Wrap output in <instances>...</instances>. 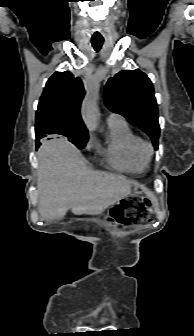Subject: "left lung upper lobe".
<instances>
[{
  "label": "left lung upper lobe",
  "mask_w": 194,
  "mask_h": 336,
  "mask_svg": "<svg viewBox=\"0 0 194 336\" xmlns=\"http://www.w3.org/2000/svg\"><path fill=\"white\" fill-rule=\"evenodd\" d=\"M106 106L146 132L157 148L160 133L153 84L140 70H124L110 78L104 89Z\"/></svg>",
  "instance_id": "1"
}]
</instances>
